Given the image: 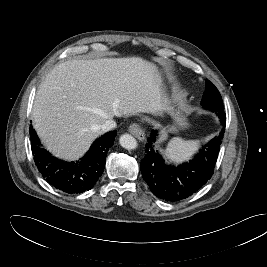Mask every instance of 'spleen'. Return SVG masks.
<instances>
[{
	"label": "spleen",
	"mask_w": 267,
	"mask_h": 267,
	"mask_svg": "<svg viewBox=\"0 0 267 267\" xmlns=\"http://www.w3.org/2000/svg\"><path fill=\"white\" fill-rule=\"evenodd\" d=\"M198 147L199 141H184L180 138H174L166 148V155L172 161L180 163L189 160Z\"/></svg>",
	"instance_id": "1"
}]
</instances>
